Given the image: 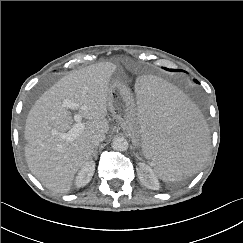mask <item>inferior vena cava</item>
Returning a JSON list of instances; mask_svg holds the SVG:
<instances>
[{"label":"inferior vena cava","mask_w":243,"mask_h":243,"mask_svg":"<svg viewBox=\"0 0 243 243\" xmlns=\"http://www.w3.org/2000/svg\"><path fill=\"white\" fill-rule=\"evenodd\" d=\"M104 140H105V134L103 133L95 134L91 139L94 146H98L99 143L103 142Z\"/></svg>","instance_id":"inferior-vena-cava-1"}]
</instances>
